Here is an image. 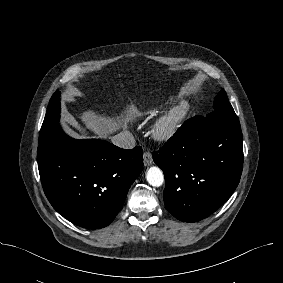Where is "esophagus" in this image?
Returning a JSON list of instances; mask_svg holds the SVG:
<instances>
[{
	"instance_id": "1",
	"label": "esophagus",
	"mask_w": 283,
	"mask_h": 283,
	"mask_svg": "<svg viewBox=\"0 0 283 283\" xmlns=\"http://www.w3.org/2000/svg\"><path fill=\"white\" fill-rule=\"evenodd\" d=\"M143 161H144L145 166H150V165L153 164V157H152V154L149 151L144 153Z\"/></svg>"
}]
</instances>
